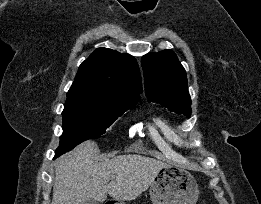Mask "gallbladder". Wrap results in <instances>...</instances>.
Returning a JSON list of instances; mask_svg holds the SVG:
<instances>
[{
	"label": "gallbladder",
	"instance_id": "obj_1",
	"mask_svg": "<svg viewBox=\"0 0 261 204\" xmlns=\"http://www.w3.org/2000/svg\"><path fill=\"white\" fill-rule=\"evenodd\" d=\"M83 204H98V202L94 199H88Z\"/></svg>",
	"mask_w": 261,
	"mask_h": 204
}]
</instances>
